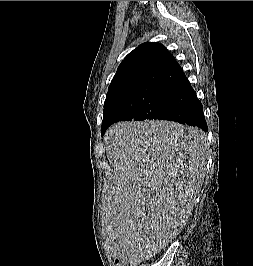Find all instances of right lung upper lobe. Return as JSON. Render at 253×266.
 Returning a JSON list of instances; mask_svg holds the SVG:
<instances>
[{
	"instance_id": "right-lung-upper-lobe-1",
	"label": "right lung upper lobe",
	"mask_w": 253,
	"mask_h": 266,
	"mask_svg": "<svg viewBox=\"0 0 253 266\" xmlns=\"http://www.w3.org/2000/svg\"><path fill=\"white\" fill-rule=\"evenodd\" d=\"M185 77L174 56L160 43L146 42L130 52L118 67L105 103L125 93L158 84H171Z\"/></svg>"
}]
</instances>
